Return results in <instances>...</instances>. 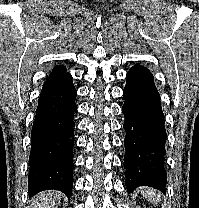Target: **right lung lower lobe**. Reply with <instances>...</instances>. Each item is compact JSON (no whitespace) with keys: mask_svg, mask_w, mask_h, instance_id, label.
Instances as JSON below:
<instances>
[{"mask_svg":"<svg viewBox=\"0 0 199 208\" xmlns=\"http://www.w3.org/2000/svg\"><path fill=\"white\" fill-rule=\"evenodd\" d=\"M76 95L70 74L43 85L31 132L30 195L55 189L71 196Z\"/></svg>","mask_w":199,"mask_h":208,"instance_id":"right-lung-lower-lobe-1","label":"right lung lower lobe"}]
</instances>
